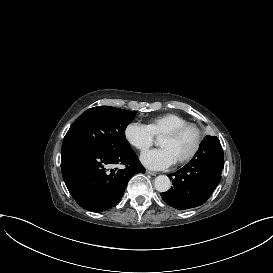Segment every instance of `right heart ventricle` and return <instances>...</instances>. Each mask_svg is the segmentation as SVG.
Instances as JSON below:
<instances>
[{
    "label": "right heart ventricle",
    "instance_id": "1",
    "mask_svg": "<svg viewBox=\"0 0 273 273\" xmlns=\"http://www.w3.org/2000/svg\"><path fill=\"white\" fill-rule=\"evenodd\" d=\"M187 123H189V120L182 115L176 113H166L151 118L144 125L151 132L153 137L159 138L164 132L181 127Z\"/></svg>",
    "mask_w": 273,
    "mask_h": 273
}]
</instances>
